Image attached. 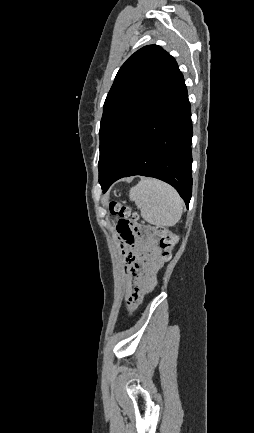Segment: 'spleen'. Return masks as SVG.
Segmentation results:
<instances>
[{
    "mask_svg": "<svg viewBox=\"0 0 254 433\" xmlns=\"http://www.w3.org/2000/svg\"><path fill=\"white\" fill-rule=\"evenodd\" d=\"M141 216L159 227L174 226L181 218L183 201L170 185L152 178L142 179L129 192Z\"/></svg>",
    "mask_w": 254,
    "mask_h": 433,
    "instance_id": "1",
    "label": "spleen"
}]
</instances>
